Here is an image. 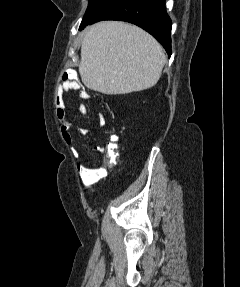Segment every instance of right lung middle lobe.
Masks as SVG:
<instances>
[{
	"mask_svg": "<svg viewBox=\"0 0 240 287\" xmlns=\"http://www.w3.org/2000/svg\"><path fill=\"white\" fill-rule=\"evenodd\" d=\"M108 1L109 0H89V5L80 25V30L92 21Z\"/></svg>",
	"mask_w": 240,
	"mask_h": 287,
	"instance_id": "obj_1",
	"label": "right lung middle lobe"
}]
</instances>
